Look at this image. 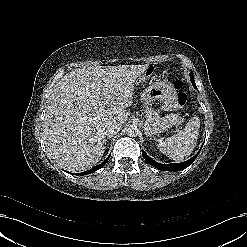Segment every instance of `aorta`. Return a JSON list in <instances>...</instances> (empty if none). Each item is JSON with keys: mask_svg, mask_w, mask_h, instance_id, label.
Segmentation results:
<instances>
[{"mask_svg": "<svg viewBox=\"0 0 247 247\" xmlns=\"http://www.w3.org/2000/svg\"><path fill=\"white\" fill-rule=\"evenodd\" d=\"M138 127L135 124H130L126 127V133L130 137H136L138 135Z\"/></svg>", "mask_w": 247, "mask_h": 247, "instance_id": "1", "label": "aorta"}]
</instances>
